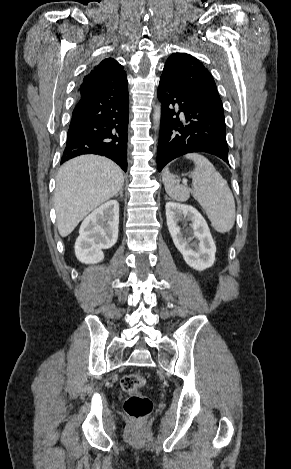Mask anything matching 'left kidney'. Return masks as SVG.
<instances>
[{
	"label": "left kidney",
	"instance_id": "1",
	"mask_svg": "<svg viewBox=\"0 0 291 469\" xmlns=\"http://www.w3.org/2000/svg\"><path fill=\"white\" fill-rule=\"evenodd\" d=\"M165 207L168 230L185 262L198 271L213 266L216 246L203 216L190 205L167 202ZM183 220L192 222L191 229L181 231L178 223Z\"/></svg>",
	"mask_w": 291,
	"mask_h": 469
}]
</instances>
